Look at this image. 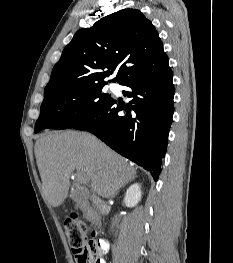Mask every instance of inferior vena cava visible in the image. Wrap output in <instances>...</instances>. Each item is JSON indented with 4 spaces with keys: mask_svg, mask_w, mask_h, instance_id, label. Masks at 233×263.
I'll return each mask as SVG.
<instances>
[{
    "mask_svg": "<svg viewBox=\"0 0 233 263\" xmlns=\"http://www.w3.org/2000/svg\"><path fill=\"white\" fill-rule=\"evenodd\" d=\"M95 204L96 207L98 209V211L100 212V214L104 215L105 214V209H106V204L105 202H103L102 200H100L99 198H95Z\"/></svg>",
    "mask_w": 233,
    "mask_h": 263,
    "instance_id": "inferior-vena-cava-1",
    "label": "inferior vena cava"
}]
</instances>
